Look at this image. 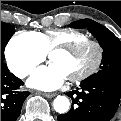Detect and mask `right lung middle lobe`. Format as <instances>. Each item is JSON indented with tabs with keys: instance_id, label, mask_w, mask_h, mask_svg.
I'll return each mask as SVG.
<instances>
[{
	"instance_id": "dd1d6c3e",
	"label": "right lung middle lobe",
	"mask_w": 121,
	"mask_h": 121,
	"mask_svg": "<svg viewBox=\"0 0 121 121\" xmlns=\"http://www.w3.org/2000/svg\"><path fill=\"white\" fill-rule=\"evenodd\" d=\"M13 33L14 27L12 25L1 22V62L4 61L5 46Z\"/></svg>"
}]
</instances>
